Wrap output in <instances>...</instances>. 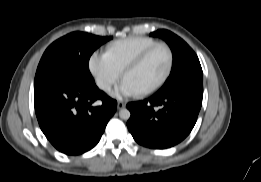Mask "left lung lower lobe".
I'll return each instance as SVG.
<instances>
[{
    "label": "left lung lower lobe",
    "instance_id": "1",
    "mask_svg": "<svg viewBox=\"0 0 261 182\" xmlns=\"http://www.w3.org/2000/svg\"><path fill=\"white\" fill-rule=\"evenodd\" d=\"M203 82L180 87L149 99L131 102L127 127L145 147L165 149L180 143L193 129L202 105Z\"/></svg>",
    "mask_w": 261,
    "mask_h": 182
}]
</instances>
